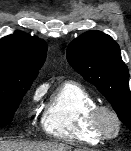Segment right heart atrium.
<instances>
[{
	"label": "right heart atrium",
	"instance_id": "obj_1",
	"mask_svg": "<svg viewBox=\"0 0 131 151\" xmlns=\"http://www.w3.org/2000/svg\"><path fill=\"white\" fill-rule=\"evenodd\" d=\"M38 96H39V91H36L34 98L36 99V98H38Z\"/></svg>",
	"mask_w": 131,
	"mask_h": 151
}]
</instances>
